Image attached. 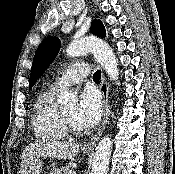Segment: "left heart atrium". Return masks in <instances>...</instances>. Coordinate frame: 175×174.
<instances>
[{"instance_id": "1", "label": "left heart atrium", "mask_w": 175, "mask_h": 174, "mask_svg": "<svg viewBox=\"0 0 175 174\" xmlns=\"http://www.w3.org/2000/svg\"><path fill=\"white\" fill-rule=\"evenodd\" d=\"M102 103L100 95L93 88L84 89L79 96L74 120L81 129L92 128L100 119Z\"/></svg>"}]
</instances>
